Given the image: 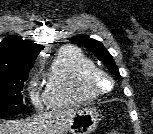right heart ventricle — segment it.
Instances as JSON below:
<instances>
[{"label":"right heart ventricle","mask_w":153,"mask_h":134,"mask_svg":"<svg viewBox=\"0 0 153 134\" xmlns=\"http://www.w3.org/2000/svg\"><path fill=\"white\" fill-rule=\"evenodd\" d=\"M94 62L75 47L62 48L48 71L43 98L49 107L85 104L97 98L85 83Z\"/></svg>","instance_id":"right-heart-ventricle-1"}]
</instances>
